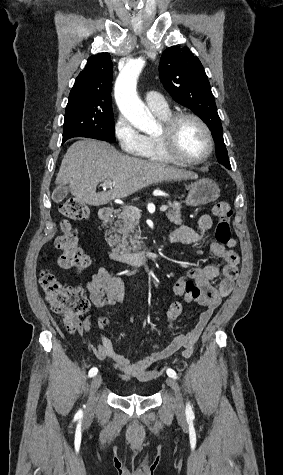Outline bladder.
<instances>
[{
    "label": "bladder",
    "instance_id": "obj_1",
    "mask_svg": "<svg viewBox=\"0 0 283 475\" xmlns=\"http://www.w3.org/2000/svg\"><path fill=\"white\" fill-rule=\"evenodd\" d=\"M130 393H135L136 395H140V391L138 389H133L129 391Z\"/></svg>",
    "mask_w": 283,
    "mask_h": 475
}]
</instances>
